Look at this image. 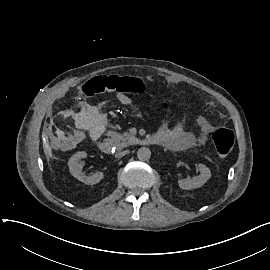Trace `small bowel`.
I'll list each match as a JSON object with an SVG mask.
<instances>
[{
  "instance_id": "small-bowel-1",
  "label": "small bowel",
  "mask_w": 270,
  "mask_h": 270,
  "mask_svg": "<svg viewBox=\"0 0 270 270\" xmlns=\"http://www.w3.org/2000/svg\"><path fill=\"white\" fill-rule=\"evenodd\" d=\"M165 80L171 88L176 89L177 82L173 78L166 77ZM117 100L122 105H129L131 103V98L125 94H119ZM197 126L199 132L195 134L191 131H187L182 124H164L157 130L156 134L160 138L161 144L167 149L183 151L194 145L202 144L210 131V125L204 118L197 120ZM46 139L49 143L54 144L56 149L70 151L75 148L81 137L78 133L74 136L65 137L60 128L51 127L46 132Z\"/></svg>"
}]
</instances>
